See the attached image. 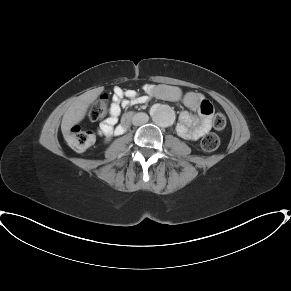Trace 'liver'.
<instances>
[{
	"instance_id": "6515ba94",
	"label": "liver",
	"mask_w": 291,
	"mask_h": 291,
	"mask_svg": "<svg viewBox=\"0 0 291 291\" xmlns=\"http://www.w3.org/2000/svg\"><path fill=\"white\" fill-rule=\"evenodd\" d=\"M103 89V87H99L90 90L72 102L62 119L61 130L63 134L69 133L75 124H78L84 119L89 106L97 99Z\"/></svg>"
}]
</instances>
